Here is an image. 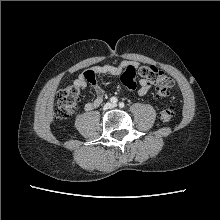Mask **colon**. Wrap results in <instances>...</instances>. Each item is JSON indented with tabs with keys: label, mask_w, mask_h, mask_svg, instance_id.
I'll list each match as a JSON object with an SVG mask.
<instances>
[{
	"label": "colon",
	"mask_w": 220,
	"mask_h": 220,
	"mask_svg": "<svg viewBox=\"0 0 220 220\" xmlns=\"http://www.w3.org/2000/svg\"><path fill=\"white\" fill-rule=\"evenodd\" d=\"M139 77L154 85L160 96H167L173 86L172 79L153 65H142L138 67L129 65L123 72L121 81L126 88L135 89ZM80 94L81 89L75 85L63 88L59 92L56 100V117L60 119L68 118L72 114ZM174 114V108L167 107L160 113L159 121L163 124L168 123L172 120Z\"/></svg>",
	"instance_id": "5ec220e1"
}]
</instances>
